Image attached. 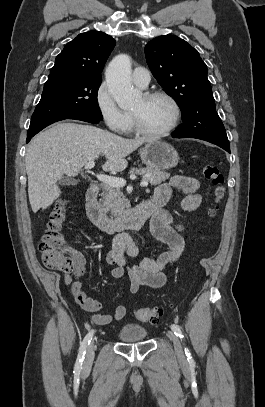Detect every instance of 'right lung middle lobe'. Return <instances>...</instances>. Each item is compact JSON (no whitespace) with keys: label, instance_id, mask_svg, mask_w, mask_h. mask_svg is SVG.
Segmentation results:
<instances>
[{"label":"right lung middle lobe","instance_id":"obj_1","mask_svg":"<svg viewBox=\"0 0 265 407\" xmlns=\"http://www.w3.org/2000/svg\"><path fill=\"white\" fill-rule=\"evenodd\" d=\"M101 80L68 74L48 77L30 122L27 135H35L48 125L80 116L102 120L97 92Z\"/></svg>","mask_w":265,"mask_h":407}]
</instances>
